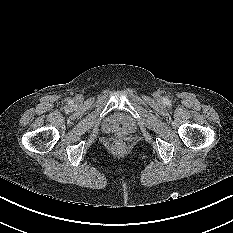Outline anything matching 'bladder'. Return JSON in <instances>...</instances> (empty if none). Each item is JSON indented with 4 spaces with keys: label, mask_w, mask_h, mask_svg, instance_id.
Segmentation results:
<instances>
[{
    "label": "bladder",
    "mask_w": 233,
    "mask_h": 233,
    "mask_svg": "<svg viewBox=\"0 0 233 233\" xmlns=\"http://www.w3.org/2000/svg\"><path fill=\"white\" fill-rule=\"evenodd\" d=\"M103 128L107 132L130 134L134 132L135 125L130 117L123 113H113L106 118Z\"/></svg>",
    "instance_id": "1"
}]
</instances>
